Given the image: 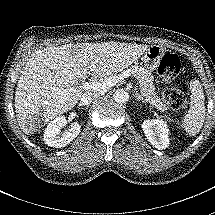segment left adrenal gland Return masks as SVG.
<instances>
[{
    "label": "left adrenal gland",
    "mask_w": 215,
    "mask_h": 215,
    "mask_svg": "<svg viewBox=\"0 0 215 215\" xmlns=\"http://www.w3.org/2000/svg\"><path fill=\"white\" fill-rule=\"evenodd\" d=\"M135 98L137 101H142L143 103H146V101L144 100L143 96L139 93H135Z\"/></svg>",
    "instance_id": "1"
}]
</instances>
